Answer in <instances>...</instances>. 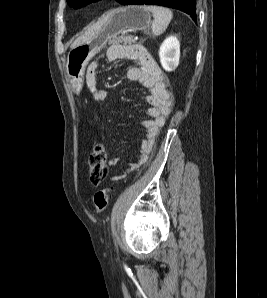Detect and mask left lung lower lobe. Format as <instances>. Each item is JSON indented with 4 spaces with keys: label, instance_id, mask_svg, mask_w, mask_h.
<instances>
[{
    "label": "left lung lower lobe",
    "instance_id": "0a47b994",
    "mask_svg": "<svg viewBox=\"0 0 267 298\" xmlns=\"http://www.w3.org/2000/svg\"><path fill=\"white\" fill-rule=\"evenodd\" d=\"M129 4H148L160 5L181 10L190 15L197 22L196 18V0H126L123 5Z\"/></svg>",
    "mask_w": 267,
    "mask_h": 298
}]
</instances>
